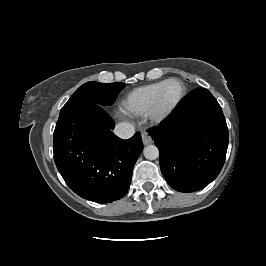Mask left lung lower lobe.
<instances>
[{
  "label": "left lung lower lobe",
  "instance_id": "left-lung-lower-lobe-1",
  "mask_svg": "<svg viewBox=\"0 0 266 266\" xmlns=\"http://www.w3.org/2000/svg\"><path fill=\"white\" fill-rule=\"evenodd\" d=\"M167 183L180 192L206 187L220 173L228 148L222 109L207 89L185 97L161 128L149 133Z\"/></svg>",
  "mask_w": 266,
  "mask_h": 266
}]
</instances>
